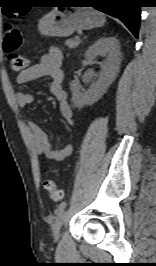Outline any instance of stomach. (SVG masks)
<instances>
[{
    "mask_svg": "<svg viewBox=\"0 0 156 266\" xmlns=\"http://www.w3.org/2000/svg\"><path fill=\"white\" fill-rule=\"evenodd\" d=\"M105 22L102 13L88 8L60 7L39 21L38 29L44 36L68 37L76 30L101 27Z\"/></svg>",
    "mask_w": 156,
    "mask_h": 266,
    "instance_id": "stomach-1",
    "label": "stomach"
}]
</instances>
